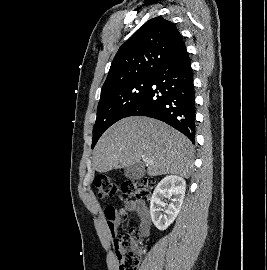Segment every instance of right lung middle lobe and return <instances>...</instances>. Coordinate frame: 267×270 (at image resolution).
<instances>
[{
	"label": "right lung middle lobe",
	"instance_id": "1",
	"mask_svg": "<svg viewBox=\"0 0 267 270\" xmlns=\"http://www.w3.org/2000/svg\"><path fill=\"white\" fill-rule=\"evenodd\" d=\"M151 77L137 78L101 91L93 128L92 148L112 124L125 115L143 98L151 85Z\"/></svg>",
	"mask_w": 267,
	"mask_h": 270
}]
</instances>
